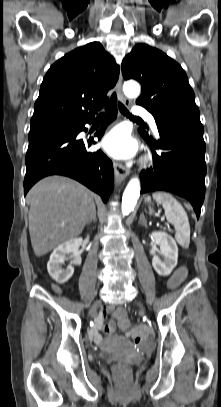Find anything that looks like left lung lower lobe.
I'll return each mask as SVG.
<instances>
[{"instance_id": "left-lung-lower-lobe-1", "label": "left lung lower lobe", "mask_w": 221, "mask_h": 407, "mask_svg": "<svg viewBox=\"0 0 221 407\" xmlns=\"http://www.w3.org/2000/svg\"><path fill=\"white\" fill-rule=\"evenodd\" d=\"M160 138H143L153 149V166L140 174L141 193L164 190L189 200L200 215L205 196V142L200 116L179 114L156 121Z\"/></svg>"}]
</instances>
